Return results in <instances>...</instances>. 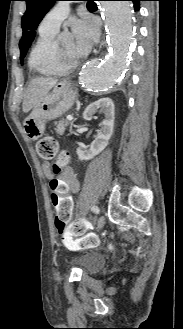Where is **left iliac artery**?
<instances>
[{"instance_id": "1", "label": "left iliac artery", "mask_w": 183, "mask_h": 329, "mask_svg": "<svg viewBox=\"0 0 183 329\" xmlns=\"http://www.w3.org/2000/svg\"><path fill=\"white\" fill-rule=\"evenodd\" d=\"M91 210L94 212V213H99V208L97 206H92Z\"/></svg>"}]
</instances>
